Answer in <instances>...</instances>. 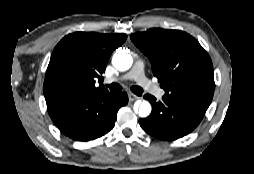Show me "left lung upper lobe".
<instances>
[{
    "mask_svg": "<svg viewBox=\"0 0 254 174\" xmlns=\"http://www.w3.org/2000/svg\"><path fill=\"white\" fill-rule=\"evenodd\" d=\"M130 38L150 59L164 97L209 107L215 88L213 65L194 37L183 31L149 29Z\"/></svg>",
    "mask_w": 254,
    "mask_h": 174,
    "instance_id": "5c2ea615",
    "label": "left lung upper lobe"
}]
</instances>
